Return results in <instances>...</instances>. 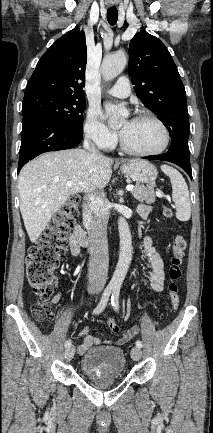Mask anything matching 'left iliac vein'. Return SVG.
Segmentation results:
<instances>
[{"mask_svg": "<svg viewBox=\"0 0 213 433\" xmlns=\"http://www.w3.org/2000/svg\"><path fill=\"white\" fill-rule=\"evenodd\" d=\"M142 355V351L139 347H133L131 350V357L134 361H139Z\"/></svg>", "mask_w": 213, "mask_h": 433, "instance_id": "left-iliac-vein-1", "label": "left iliac vein"}]
</instances>
